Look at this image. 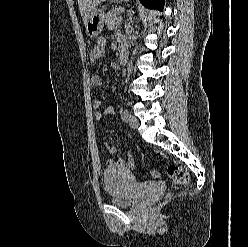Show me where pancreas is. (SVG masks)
Segmentation results:
<instances>
[{
    "mask_svg": "<svg viewBox=\"0 0 248 247\" xmlns=\"http://www.w3.org/2000/svg\"><path fill=\"white\" fill-rule=\"evenodd\" d=\"M119 9H112L105 15V21L108 29H115L120 22Z\"/></svg>",
    "mask_w": 248,
    "mask_h": 247,
    "instance_id": "pancreas-1",
    "label": "pancreas"
}]
</instances>
